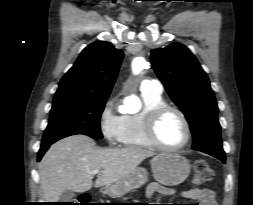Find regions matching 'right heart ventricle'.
Masks as SVG:
<instances>
[{"mask_svg":"<svg viewBox=\"0 0 253 205\" xmlns=\"http://www.w3.org/2000/svg\"><path fill=\"white\" fill-rule=\"evenodd\" d=\"M144 107L135 114H126L122 116V132L120 144L129 148L151 149L153 146L147 140L145 135L146 116L152 109L165 105L166 102L161 94L151 92H141Z\"/></svg>","mask_w":253,"mask_h":205,"instance_id":"obj_1","label":"right heart ventricle"}]
</instances>
